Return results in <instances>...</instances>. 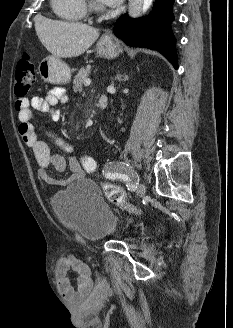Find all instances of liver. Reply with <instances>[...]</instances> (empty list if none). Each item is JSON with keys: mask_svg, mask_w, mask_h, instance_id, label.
I'll list each match as a JSON object with an SVG mask.
<instances>
[{"mask_svg": "<svg viewBox=\"0 0 233 328\" xmlns=\"http://www.w3.org/2000/svg\"><path fill=\"white\" fill-rule=\"evenodd\" d=\"M36 34L43 46L58 58L83 54L99 37L98 29L77 22L35 18Z\"/></svg>", "mask_w": 233, "mask_h": 328, "instance_id": "obj_1", "label": "liver"}]
</instances>
